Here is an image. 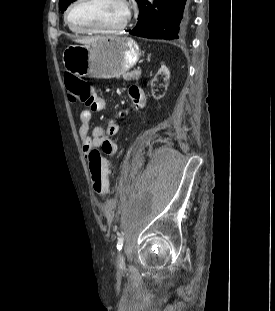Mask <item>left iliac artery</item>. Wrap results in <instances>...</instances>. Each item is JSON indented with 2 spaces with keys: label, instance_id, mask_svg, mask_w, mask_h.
I'll list each match as a JSON object with an SVG mask.
<instances>
[{
  "label": "left iliac artery",
  "instance_id": "left-iliac-artery-1",
  "mask_svg": "<svg viewBox=\"0 0 275 311\" xmlns=\"http://www.w3.org/2000/svg\"><path fill=\"white\" fill-rule=\"evenodd\" d=\"M123 243H124V238H123V237H120V238L118 239V242H117V249H118V250H121V249H122Z\"/></svg>",
  "mask_w": 275,
  "mask_h": 311
}]
</instances>
